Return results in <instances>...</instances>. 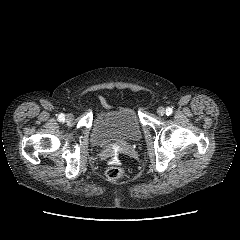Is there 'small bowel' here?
<instances>
[{
  "instance_id": "small-bowel-1",
  "label": "small bowel",
  "mask_w": 240,
  "mask_h": 240,
  "mask_svg": "<svg viewBox=\"0 0 240 240\" xmlns=\"http://www.w3.org/2000/svg\"><path fill=\"white\" fill-rule=\"evenodd\" d=\"M99 100L103 105H106V101L103 97H99Z\"/></svg>"
}]
</instances>
